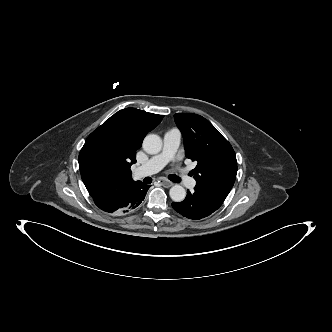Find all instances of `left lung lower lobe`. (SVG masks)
Here are the masks:
<instances>
[{
    "label": "left lung lower lobe",
    "mask_w": 332,
    "mask_h": 332,
    "mask_svg": "<svg viewBox=\"0 0 332 332\" xmlns=\"http://www.w3.org/2000/svg\"><path fill=\"white\" fill-rule=\"evenodd\" d=\"M220 204L216 203L200 191H187V196L182 202L172 203V207L182 216L199 220L211 215L220 208Z\"/></svg>",
    "instance_id": "left-lung-lower-lobe-1"
}]
</instances>
